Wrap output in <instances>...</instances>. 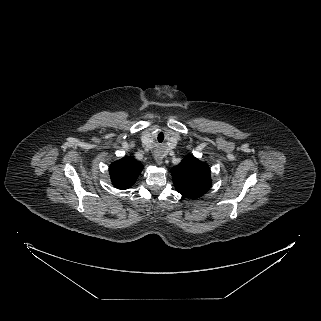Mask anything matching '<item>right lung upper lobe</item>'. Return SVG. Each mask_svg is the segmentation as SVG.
Here are the masks:
<instances>
[{
    "label": "right lung upper lobe",
    "mask_w": 321,
    "mask_h": 321,
    "mask_svg": "<svg viewBox=\"0 0 321 321\" xmlns=\"http://www.w3.org/2000/svg\"><path fill=\"white\" fill-rule=\"evenodd\" d=\"M143 165L135 159L125 156L111 164L109 168L113 185L118 189H128L137 180Z\"/></svg>",
    "instance_id": "right-lung-upper-lobe-1"
}]
</instances>
